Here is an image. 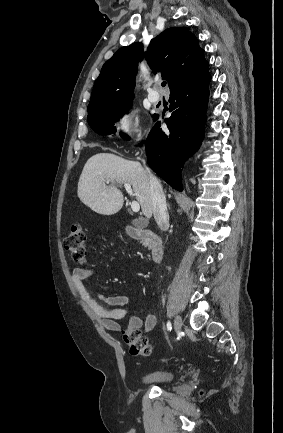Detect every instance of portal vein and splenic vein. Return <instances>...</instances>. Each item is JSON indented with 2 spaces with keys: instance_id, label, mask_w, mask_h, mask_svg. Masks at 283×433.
<instances>
[{
  "instance_id": "obj_1",
  "label": "portal vein and splenic vein",
  "mask_w": 283,
  "mask_h": 433,
  "mask_svg": "<svg viewBox=\"0 0 283 433\" xmlns=\"http://www.w3.org/2000/svg\"><path fill=\"white\" fill-rule=\"evenodd\" d=\"M106 182H109V180H106ZM124 188H126L128 194H131V196H134L133 190L131 188V184H127V182H126V184H124ZM131 208H132V210H134V212H138V210H140L139 202H137V200H132Z\"/></svg>"
}]
</instances>
